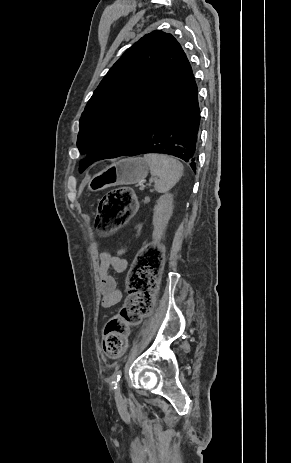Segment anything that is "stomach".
I'll use <instances>...</instances> for the list:
<instances>
[{
    "instance_id": "obj_1",
    "label": "stomach",
    "mask_w": 291,
    "mask_h": 463,
    "mask_svg": "<svg viewBox=\"0 0 291 463\" xmlns=\"http://www.w3.org/2000/svg\"><path fill=\"white\" fill-rule=\"evenodd\" d=\"M148 174V164L143 158H128L107 166L88 181L91 191H100L117 185L142 182Z\"/></svg>"
}]
</instances>
